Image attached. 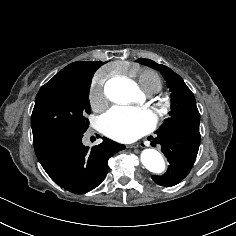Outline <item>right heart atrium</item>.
Listing matches in <instances>:
<instances>
[{
    "mask_svg": "<svg viewBox=\"0 0 236 236\" xmlns=\"http://www.w3.org/2000/svg\"><path fill=\"white\" fill-rule=\"evenodd\" d=\"M108 79V70L103 69L95 74L90 87V100L96 106L107 103L106 83Z\"/></svg>",
    "mask_w": 236,
    "mask_h": 236,
    "instance_id": "obj_1",
    "label": "right heart atrium"
}]
</instances>
